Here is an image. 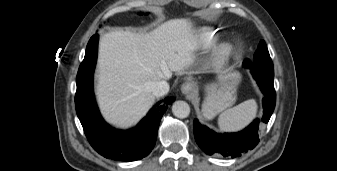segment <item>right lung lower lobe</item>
Here are the masks:
<instances>
[{
	"instance_id": "obj_1",
	"label": "right lung lower lobe",
	"mask_w": 337,
	"mask_h": 171,
	"mask_svg": "<svg viewBox=\"0 0 337 171\" xmlns=\"http://www.w3.org/2000/svg\"><path fill=\"white\" fill-rule=\"evenodd\" d=\"M98 34L91 37L76 77V112L91 146L102 156L118 161L146 157L155 146L162 115L175 98L153 107L135 128L120 131L110 127L100 116L93 94V71L97 58Z\"/></svg>"
}]
</instances>
